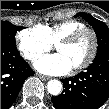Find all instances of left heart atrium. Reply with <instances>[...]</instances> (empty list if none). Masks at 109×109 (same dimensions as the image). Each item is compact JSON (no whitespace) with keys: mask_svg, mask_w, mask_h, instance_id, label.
Returning <instances> with one entry per match:
<instances>
[{"mask_svg":"<svg viewBox=\"0 0 109 109\" xmlns=\"http://www.w3.org/2000/svg\"><path fill=\"white\" fill-rule=\"evenodd\" d=\"M35 68L45 74L63 75L68 73L73 67L63 54L56 53L40 58L35 63Z\"/></svg>","mask_w":109,"mask_h":109,"instance_id":"obj_1","label":"left heart atrium"}]
</instances>
